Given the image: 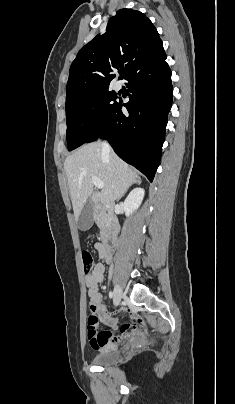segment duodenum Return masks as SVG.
<instances>
[{
	"instance_id": "410a0bca",
	"label": "duodenum",
	"mask_w": 235,
	"mask_h": 404,
	"mask_svg": "<svg viewBox=\"0 0 235 404\" xmlns=\"http://www.w3.org/2000/svg\"><path fill=\"white\" fill-rule=\"evenodd\" d=\"M112 213H113L112 209L108 208L106 211V217L108 219H111ZM95 220L99 221L98 215L95 216ZM102 241H103V246L106 251V261L110 262L112 260V255L118 246V240H117V236H116L114 221L109 223L107 225L106 229L103 231Z\"/></svg>"
}]
</instances>
